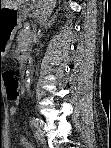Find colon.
<instances>
[{
  "label": "colon",
  "mask_w": 111,
  "mask_h": 148,
  "mask_svg": "<svg viewBox=\"0 0 111 148\" xmlns=\"http://www.w3.org/2000/svg\"><path fill=\"white\" fill-rule=\"evenodd\" d=\"M0 79L5 87L6 97L10 101H15L19 98L20 81L12 71L0 70Z\"/></svg>",
  "instance_id": "1"
}]
</instances>
